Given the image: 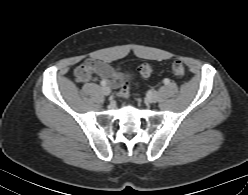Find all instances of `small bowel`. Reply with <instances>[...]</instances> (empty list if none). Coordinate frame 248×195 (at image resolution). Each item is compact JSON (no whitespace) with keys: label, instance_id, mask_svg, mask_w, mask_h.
Masks as SVG:
<instances>
[{"label":"small bowel","instance_id":"small-bowel-1","mask_svg":"<svg viewBox=\"0 0 248 195\" xmlns=\"http://www.w3.org/2000/svg\"><path fill=\"white\" fill-rule=\"evenodd\" d=\"M74 75L80 83L101 80L112 88H117L123 79L122 72L119 69H115L107 62L97 59H87L82 62L76 67Z\"/></svg>","mask_w":248,"mask_h":195}]
</instances>
